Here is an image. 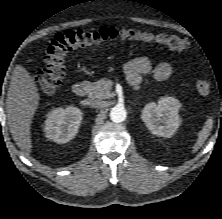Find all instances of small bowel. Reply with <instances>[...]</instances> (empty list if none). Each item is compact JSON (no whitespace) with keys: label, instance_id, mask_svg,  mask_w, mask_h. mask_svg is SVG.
<instances>
[{"label":"small bowel","instance_id":"c3829d8e","mask_svg":"<svg viewBox=\"0 0 222 219\" xmlns=\"http://www.w3.org/2000/svg\"><path fill=\"white\" fill-rule=\"evenodd\" d=\"M125 74L130 85L136 86L141 83L145 75H150L153 79L162 81L172 74V66L168 62H161L156 66L148 57H138L126 63Z\"/></svg>","mask_w":222,"mask_h":219}]
</instances>
